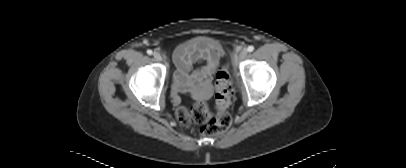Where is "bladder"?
<instances>
[{
    "mask_svg": "<svg viewBox=\"0 0 406 168\" xmlns=\"http://www.w3.org/2000/svg\"><path fill=\"white\" fill-rule=\"evenodd\" d=\"M202 43H211V41L206 37H196L185 42L184 44L181 45V47L195 46Z\"/></svg>",
    "mask_w": 406,
    "mask_h": 168,
    "instance_id": "31cf9c89",
    "label": "bladder"
}]
</instances>
